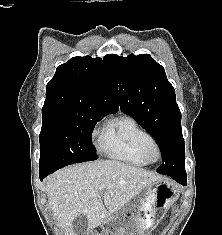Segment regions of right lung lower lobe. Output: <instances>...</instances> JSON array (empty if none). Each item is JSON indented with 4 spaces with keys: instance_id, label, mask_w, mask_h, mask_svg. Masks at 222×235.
Masks as SVG:
<instances>
[{
    "instance_id": "98d812e1",
    "label": "right lung lower lobe",
    "mask_w": 222,
    "mask_h": 235,
    "mask_svg": "<svg viewBox=\"0 0 222 235\" xmlns=\"http://www.w3.org/2000/svg\"><path fill=\"white\" fill-rule=\"evenodd\" d=\"M54 171H45V172H40V180L42 181L46 176H48L49 174L53 173Z\"/></svg>"
}]
</instances>
